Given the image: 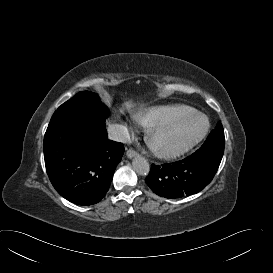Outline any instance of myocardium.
<instances>
[{"mask_svg":"<svg viewBox=\"0 0 273 273\" xmlns=\"http://www.w3.org/2000/svg\"><path fill=\"white\" fill-rule=\"evenodd\" d=\"M194 117L202 118L204 120V127L201 130V132L192 141H190L189 143H187L181 147H178V148L167 149V148H159L157 146L155 139L160 133L170 130V129H173L175 127H178ZM209 128H210V123H209L208 117L201 112L192 111L189 114H187L186 116L180 118L179 120H177L171 124L154 127L149 132V134L146 138V141H147V145L149 146V148L157 156H159L161 158H174V157H178L180 155H183L184 153H186L189 150H191L192 148H194L197 144H199L207 135Z\"/></svg>","mask_w":273,"mask_h":273,"instance_id":"1","label":"myocardium"}]
</instances>
